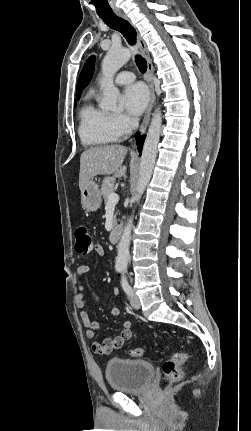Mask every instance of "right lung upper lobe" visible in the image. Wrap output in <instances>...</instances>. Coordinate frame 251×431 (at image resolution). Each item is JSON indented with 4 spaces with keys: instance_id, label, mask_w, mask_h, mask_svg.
I'll return each mask as SVG.
<instances>
[{
    "instance_id": "cb5924a9",
    "label": "right lung upper lobe",
    "mask_w": 251,
    "mask_h": 431,
    "mask_svg": "<svg viewBox=\"0 0 251 431\" xmlns=\"http://www.w3.org/2000/svg\"><path fill=\"white\" fill-rule=\"evenodd\" d=\"M95 66V56L89 57L78 79L76 87V99L80 98L82 90L90 83Z\"/></svg>"
}]
</instances>
